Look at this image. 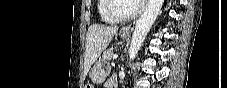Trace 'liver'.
Segmentation results:
<instances>
[{
	"instance_id": "liver-1",
	"label": "liver",
	"mask_w": 227,
	"mask_h": 88,
	"mask_svg": "<svg viewBox=\"0 0 227 88\" xmlns=\"http://www.w3.org/2000/svg\"><path fill=\"white\" fill-rule=\"evenodd\" d=\"M117 31L118 27H107L98 24H93L88 28L84 62L86 71H89L103 50L107 48Z\"/></svg>"
}]
</instances>
